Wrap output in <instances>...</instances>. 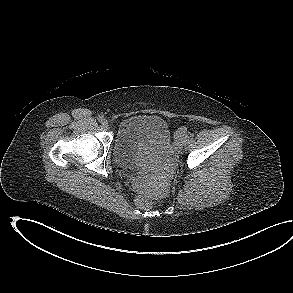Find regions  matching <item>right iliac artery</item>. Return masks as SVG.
<instances>
[{"label":"right iliac artery","instance_id":"82829eb1","mask_svg":"<svg viewBox=\"0 0 293 293\" xmlns=\"http://www.w3.org/2000/svg\"><path fill=\"white\" fill-rule=\"evenodd\" d=\"M103 119H104L103 115H99V116H98V121H99V122H102Z\"/></svg>","mask_w":293,"mask_h":293}]
</instances>
